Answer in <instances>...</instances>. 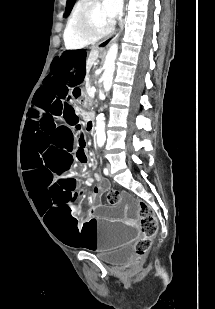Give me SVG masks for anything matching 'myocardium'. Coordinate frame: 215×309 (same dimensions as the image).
Wrapping results in <instances>:
<instances>
[{
  "label": "myocardium",
  "instance_id": "obj_1",
  "mask_svg": "<svg viewBox=\"0 0 215 309\" xmlns=\"http://www.w3.org/2000/svg\"><path fill=\"white\" fill-rule=\"evenodd\" d=\"M90 10H93V7L85 6L77 9L74 12V24L73 26H71L74 28L70 27V31H74V33H76L74 37L84 38L83 44H77L81 47L91 46L93 44V40H96L95 38H105L106 34H109V32L111 30H114L115 28V22L113 19H108L104 27H93L92 21L90 19H87L88 17L87 15H85V12H88Z\"/></svg>",
  "mask_w": 215,
  "mask_h": 309
}]
</instances>
